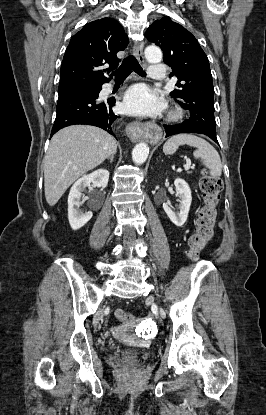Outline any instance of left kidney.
Segmentation results:
<instances>
[{
    "instance_id": "1",
    "label": "left kidney",
    "mask_w": 266,
    "mask_h": 415,
    "mask_svg": "<svg viewBox=\"0 0 266 415\" xmlns=\"http://www.w3.org/2000/svg\"><path fill=\"white\" fill-rule=\"evenodd\" d=\"M176 188V196L179 198V210H172L166 203L163 204V209L166 212L169 219L176 225L182 226L188 217L190 210L192 195L191 190L187 182L181 178H177L174 181Z\"/></svg>"
}]
</instances>
